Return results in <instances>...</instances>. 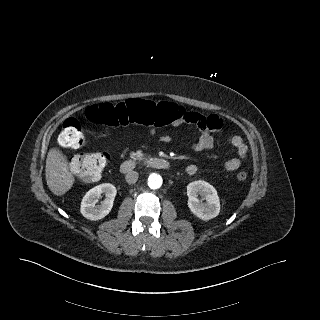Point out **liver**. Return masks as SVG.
Listing matches in <instances>:
<instances>
[{"label":"liver","instance_id":"obj_1","mask_svg":"<svg viewBox=\"0 0 320 320\" xmlns=\"http://www.w3.org/2000/svg\"><path fill=\"white\" fill-rule=\"evenodd\" d=\"M45 176L50 191L56 196L64 195L75 181L66 157L55 148L50 149L47 154Z\"/></svg>","mask_w":320,"mask_h":320}]
</instances>
